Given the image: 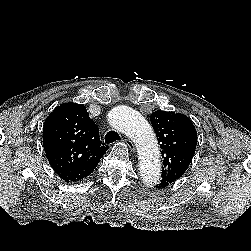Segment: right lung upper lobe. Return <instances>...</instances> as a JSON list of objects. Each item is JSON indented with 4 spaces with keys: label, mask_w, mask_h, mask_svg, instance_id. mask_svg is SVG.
<instances>
[{
    "label": "right lung upper lobe",
    "mask_w": 251,
    "mask_h": 251,
    "mask_svg": "<svg viewBox=\"0 0 251 251\" xmlns=\"http://www.w3.org/2000/svg\"><path fill=\"white\" fill-rule=\"evenodd\" d=\"M46 157L67 182L90 175L107 151L99 138V128L84 105L64 103L48 116L43 127Z\"/></svg>",
    "instance_id": "right-lung-upper-lobe-1"
}]
</instances>
